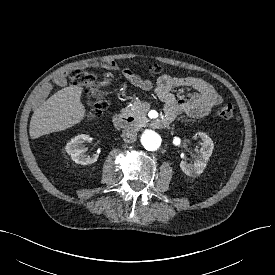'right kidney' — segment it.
I'll use <instances>...</instances> for the list:
<instances>
[{"mask_svg":"<svg viewBox=\"0 0 275 275\" xmlns=\"http://www.w3.org/2000/svg\"><path fill=\"white\" fill-rule=\"evenodd\" d=\"M90 136L87 134H81L73 138L69 141L65 147L66 152L71 156V159L77 163L82 165L92 164L97 161L98 155L95 154L93 156H87L84 153V149L82 147V143L86 140H89Z\"/></svg>","mask_w":275,"mask_h":275,"instance_id":"ca27d5eb","label":"right kidney"}]
</instances>
